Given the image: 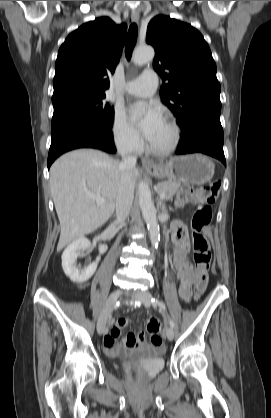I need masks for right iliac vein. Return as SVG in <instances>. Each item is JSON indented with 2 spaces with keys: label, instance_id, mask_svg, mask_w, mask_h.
I'll list each match as a JSON object with an SVG mask.
<instances>
[{
  "label": "right iliac vein",
  "instance_id": "right-iliac-vein-1",
  "mask_svg": "<svg viewBox=\"0 0 271 418\" xmlns=\"http://www.w3.org/2000/svg\"><path fill=\"white\" fill-rule=\"evenodd\" d=\"M120 293H121L120 290H115L110 294V296H109V298L106 302V305L104 307V310H103V312H102V314H101V316L98 320V323H97V332H98L99 335H102L104 333L105 328H106L107 319H108L109 314L112 311L113 307L115 306V304H116V302H117V300L120 296Z\"/></svg>",
  "mask_w": 271,
  "mask_h": 418
}]
</instances>
